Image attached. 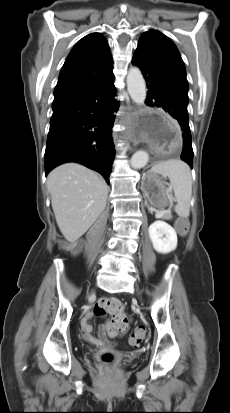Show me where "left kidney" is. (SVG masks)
<instances>
[{
    "mask_svg": "<svg viewBox=\"0 0 230 413\" xmlns=\"http://www.w3.org/2000/svg\"><path fill=\"white\" fill-rule=\"evenodd\" d=\"M149 236L153 248L162 254L170 253L177 247V234L166 222L157 220L149 226Z\"/></svg>",
    "mask_w": 230,
    "mask_h": 413,
    "instance_id": "left-kidney-1",
    "label": "left kidney"
}]
</instances>
